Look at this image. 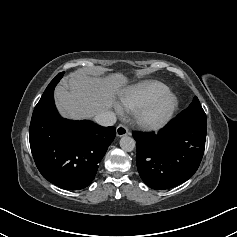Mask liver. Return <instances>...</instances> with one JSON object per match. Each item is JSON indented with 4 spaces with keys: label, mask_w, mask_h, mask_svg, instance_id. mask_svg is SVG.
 Masks as SVG:
<instances>
[{
    "label": "liver",
    "mask_w": 237,
    "mask_h": 237,
    "mask_svg": "<svg viewBox=\"0 0 237 237\" xmlns=\"http://www.w3.org/2000/svg\"><path fill=\"white\" fill-rule=\"evenodd\" d=\"M127 81L122 73L98 77L84 71L74 72L56 87V106L65 118L90 119L112 107Z\"/></svg>",
    "instance_id": "1"
}]
</instances>
